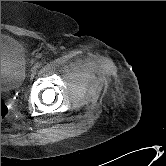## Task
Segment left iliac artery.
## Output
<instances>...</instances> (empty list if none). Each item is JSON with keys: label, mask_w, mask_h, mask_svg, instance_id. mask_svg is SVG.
I'll return each mask as SVG.
<instances>
[{"label": "left iliac artery", "mask_w": 166, "mask_h": 166, "mask_svg": "<svg viewBox=\"0 0 166 166\" xmlns=\"http://www.w3.org/2000/svg\"><path fill=\"white\" fill-rule=\"evenodd\" d=\"M37 67L39 68V67H41L42 66V63L41 62H37Z\"/></svg>", "instance_id": "44dca946"}]
</instances>
